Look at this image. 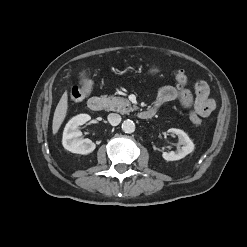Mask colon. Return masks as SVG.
<instances>
[{"label":"colon","mask_w":247,"mask_h":247,"mask_svg":"<svg viewBox=\"0 0 247 247\" xmlns=\"http://www.w3.org/2000/svg\"><path fill=\"white\" fill-rule=\"evenodd\" d=\"M175 81L178 87L185 88L188 83V78L183 71L175 73ZM92 88V82L89 79H82L77 85L72 88L71 99L74 101H81L84 99ZM190 120L195 126L202 124L201 116L195 111L190 113Z\"/></svg>","instance_id":"obj_1"}]
</instances>
